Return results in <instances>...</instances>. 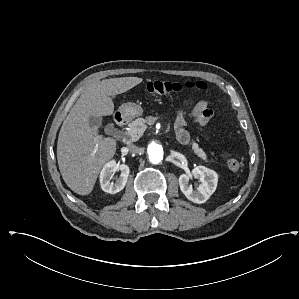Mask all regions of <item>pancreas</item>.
Listing matches in <instances>:
<instances>
[{
  "label": "pancreas",
  "instance_id": "cf45deb5",
  "mask_svg": "<svg viewBox=\"0 0 299 299\" xmlns=\"http://www.w3.org/2000/svg\"><path fill=\"white\" fill-rule=\"evenodd\" d=\"M145 130L146 120L143 118H138L129 124V128L125 133L126 138L129 142L137 141L143 135ZM191 145L192 150L198 157H200L205 162H209L206 153L203 151L202 148L199 147V145L196 142L193 141Z\"/></svg>",
  "mask_w": 299,
  "mask_h": 299
}]
</instances>
